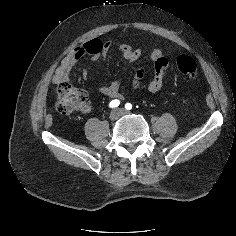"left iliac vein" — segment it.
Here are the masks:
<instances>
[{"instance_id":"1","label":"left iliac vein","mask_w":236,"mask_h":236,"mask_svg":"<svg viewBox=\"0 0 236 236\" xmlns=\"http://www.w3.org/2000/svg\"><path fill=\"white\" fill-rule=\"evenodd\" d=\"M119 111H120V115H122V116L130 114V112L125 109H120Z\"/></svg>"}]
</instances>
